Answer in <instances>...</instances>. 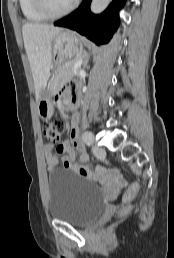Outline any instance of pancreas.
I'll return each instance as SVG.
<instances>
[{"label": "pancreas", "mask_w": 174, "mask_h": 258, "mask_svg": "<svg viewBox=\"0 0 174 258\" xmlns=\"http://www.w3.org/2000/svg\"><path fill=\"white\" fill-rule=\"evenodd\" d=\"M78 60L79 56L70 61L64 62L57 67L55 72L54 88L62 85L72 77L78 76L79 68L73 69V66L78 62Z\"/></svg>", "instance_id": "cf45deb5"}]
</instances>
